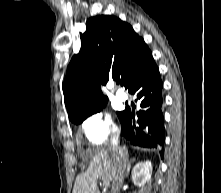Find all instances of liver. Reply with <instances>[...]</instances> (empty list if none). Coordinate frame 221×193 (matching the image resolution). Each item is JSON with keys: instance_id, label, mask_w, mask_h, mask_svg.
I'll return each mask as SVG.
<instances>
[{"instance_id": "6515ba94", "label": "liver", "mask_w": 221, "mask_h": 193, "mask_svg": "<svg viewBox=\"0 0 221 193\" xmlns=\"http://www.w3.org/2000/svg\"><path fill=\"white\" fill-rule=\"evenodd\" d=\"M128 148L119 147L95 150L88 169L76 177L72 193H97V180L102 178L105 185L113 180L116 159L128 160Z\"/></svg>"}]
</instances>
